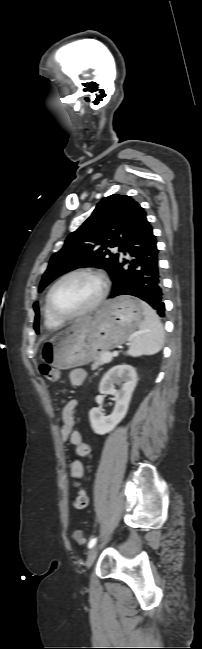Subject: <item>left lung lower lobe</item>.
I'll use <instances>...</instances> for the list:
<instances>
[{"mask_svg": "<svg viewBox=\"0 0 202 649\" xmlns=\"http://www.w3.org/2000/svg\"><path fill=\"white\" fill-rule=\"evenodd\" d=\"M120 250L127 251L131 259L120 257L111 272L113 291L109 298L120 295L136 296L149 303L164 317L161 275L158 268V249L152 227L146 216L140 218L124 237ZM127 264L128 268L123 266Z\"/></svg>", "mask_w": 202, "mask_h": 649, "instance_id": "1", "label": "left lung lower lobe"}]
</instances>
